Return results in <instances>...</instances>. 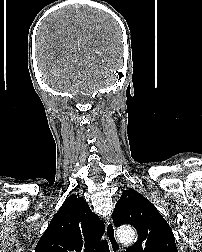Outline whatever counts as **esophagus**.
<instances>
[{
  "label": "esophagus",
  "mask_w": 202,
  "mask_h": 252,
  "mask_svg": "<svg viewBox=\"0 0 202 252\" xmlns=\"http://www.w3.org/2000/svg\"><path fill=\"white\" fill-rule=\"evenodd\" d=\"M105 234L110 245L111 252H119L120 245L116 239V230L112 221L108 218L105 225Z\"/></svg>",
  "instance_id": "1"
}]
</instances>
